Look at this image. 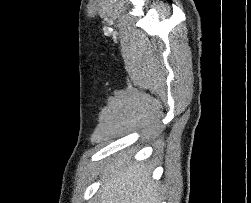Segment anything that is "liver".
<instances>
[{
    "instance_id": "1",
    "label": "liver",
    "mask_w": 251,
    "mask_h": 203,
    "mask_svg": "<svg viewBox=\"0 0 251 203\" xmlns=\"http://www.w3.org/2000/svg\"><path fill=\"white\" fill-rule=\"evenodd\" d=\"M105 183L99 190L100 203H159L151 170L141 163H132L124 154L108 166Z\"/></svg>"
}]
</instances>
